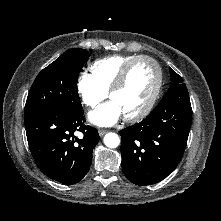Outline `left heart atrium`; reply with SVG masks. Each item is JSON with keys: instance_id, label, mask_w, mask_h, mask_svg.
I'll return each instance as SVG.
<instances>
[{"instance_id": "39dd6f15", "label": "left heart atrium", "mask_w": 221, "mask_h": 221, "mask_svg": "<svg viewBox=\"0 0 221 221\" xmlns=\"http://www.w3.org/2000/svg\"><path fill=\"white\" fill-rule=\"evenodd\" d=\"M123 116L119 105L111 100L89 114V120L95 125L109 127L116 124Z\"/></svg>"}]
</instances>
